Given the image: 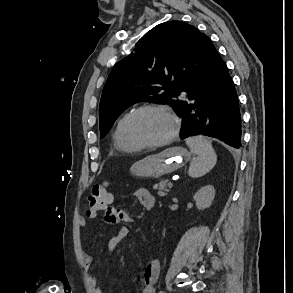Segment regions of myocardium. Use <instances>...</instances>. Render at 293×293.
<instances>
[{
    "mask_svg": "<svg viewBox=\"0 0 293 293\" xmlns=\"http://www.w3.org/2000/svg\"><path fill=\"white\" fill-rule=\"evenodd\" d=\"M146 111H159L164 113L172 124V129L170 133L163 139L156 141V142H144L141 140L136 139L133 136L132 133V126L135 118ZM179 131V121L175 114L166 106L160 105V104H146L142 105L132 112H130L126 118L125 124H124V136L126 141L139 148H157V147H163L167 144H169L178 134Z\"/></svg>",
    "mask_w": 293,
    "mask_h": 293,
    "instance_id": "1",
    "label": "myocardium"
}]
</instances>
